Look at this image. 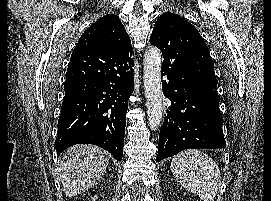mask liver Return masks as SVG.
I'll use <instances>...</instances> for the list:
<instances>
[{
  "instance_id": "6515ba94",
  "label": "liver",
  "mask_w": 271,
  "mask_h": 201,
  "mask_svg": "<svg viewBox=\"0 0 271 201\" xmlns=\"http://www.w3.org/2000/svg\"><path fill=\"white\" fill-rule=\"evenodd\" d=\"M109 163L108 153L93 145H76L63 154L58 178L66 196H77L92 188L102 177Z\"/></svg>"
}]
</instances>
